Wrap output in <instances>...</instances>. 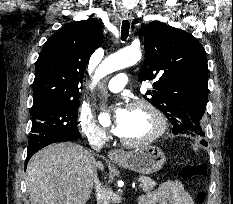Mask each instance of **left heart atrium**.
I'll list each match as a JSON object with an SVG mask.
<instances>
[{
	"instance_id": "obj_1",
	"label": "left heart atrium",
	"mask_w": 233,
	"mask_h": 204,
	"mask_svg": "<svg viewBox=\"0 0 233 204\" xmlns=\"http://www.w3.org/2000/svg\"><path fill=\"white\" fill-rule=\"evenodd\" d=\"M127 116V110L122 107H117L113 113V121H112V132L116 135H120Z\"/></svg>"
}]
</instances>
